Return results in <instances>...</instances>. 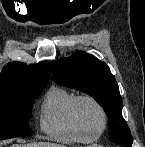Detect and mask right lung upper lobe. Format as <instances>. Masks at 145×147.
<instances>
[{"mask_svg": "<svg viewBox=\"0 0 145 147\" xmlns=\"http://www.w3.org/2000/svg\"><path fill=\"white\" fill-rule=\"evenodd\" d=\"M50 78V64L47 61L26 65L12 62L0 74V93L22 88L45 87Z\"/></svg>", "mask_w": 145, "mask_h": 147, "instance_id": "right-lung-upper-lobe-1", "label": "right lung upper lobe"}]
</instances>
